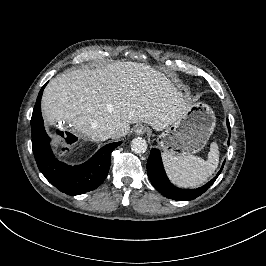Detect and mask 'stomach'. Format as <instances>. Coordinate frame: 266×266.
Masks as SVG:
<instances>
[{
  "label": "stomach",
  "instance_id": "1",
  "mask_svg": "<svg viewBox=\"0 0 266 266\" xmlns=\"http://www.w3.org/2000/svg\"><path fill=\"white\" fill-rule=\"evenodd\" d=\"M215 128V114L206 104L191 106L188 113L171 125L158 137L165 152L173 155H189L199 152Z\"/></svg>",
  "mask_w": 266,
  "mask_h": 266
}]
</instances>
